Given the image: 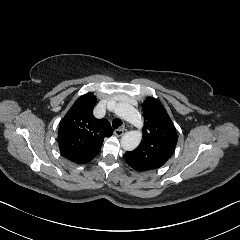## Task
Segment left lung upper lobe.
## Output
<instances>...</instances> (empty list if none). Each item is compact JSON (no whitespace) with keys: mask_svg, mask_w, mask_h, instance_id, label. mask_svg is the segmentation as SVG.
<instances>
[{"mask_svg":"<svg viewBox=\"0 0 240 240\" xmlns=\"http://www.w3.org/2000/svg\"><path fill=\"white\" fill-rule=\"evenodd\" d=\"M143 140L124 154L126 162L137 171L156 169L166 163L177 144L175 127L163 105L155 98L143 104Z\"/></svg>","mask_w":240,"mask_h":240,"instance_id":"5c2ea615","label":"left lung upper lobe"}]
</instances>
